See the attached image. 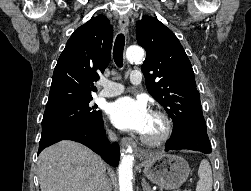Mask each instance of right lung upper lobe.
Segmentation results:
<instances>
[{
  "mask_svg": "<svg viewBox=\"0 0 251 191\" xmlns=\"http://www.w3.org/2000/svg\"><path fill=\"white\" fill-rule=\"evenodd\" d=\"M112 27L104 15L80 26L67 41L55 67L46 107L92 98L111 57Z\"/></svg>",
  "mask_w": 251,
  "mask_h": 191,
  "instance_id": "right-lung-upper-lobe-1",
  "label": "right lung upper lobe"
}]
</instances>
